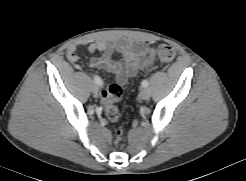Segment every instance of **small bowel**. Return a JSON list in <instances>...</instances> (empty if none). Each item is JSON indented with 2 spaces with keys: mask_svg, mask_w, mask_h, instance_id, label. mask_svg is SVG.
Segmentation results:
<instances>
[{
  "mask_svg": "<svg viewBox=\"0 0 246 181\" xmlns=\"http://www.w3.org/2000/svg\"><path fill=\"white\" fill-rule=\"evenodd\" d=\"M81 48L86 49L91 54H98V56L90 59V66L114 74L115 81L119 84H125L138 70L149 69L153 66L149 46L145 43L119 41L110 44L104 41H95L69 46L67 57L76 69H81L78 54V50ZM115 53L121 54L122 60H113L112 57Z\"/></svg>",
  "mask_w": 246,
  "mask_h": 181,
  "instance_id": "c3829d8e",
  "label": "small bowel"
}]
</instances>
